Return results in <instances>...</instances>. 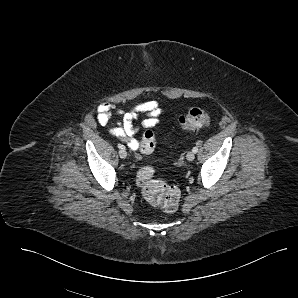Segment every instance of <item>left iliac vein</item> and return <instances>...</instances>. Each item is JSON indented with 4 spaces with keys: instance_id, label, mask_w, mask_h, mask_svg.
Returning a JSON list of instances; mask_svg holds the SVG:
<instances>
[{
    "instance_id": "1",
    "label": "left iliac vein",
    "mask_w": 298,
    "mask_h": 298,
    "mask_svg": "<svg viewBox=\"0 0 298 298\" xmlns=\"http://www.w3.org/2000/svg\"><path fill=\"white\" fill-rule=\"evenodd\" d=\"M194 158H195V153H194L193 151H190V152L187 153V155H186V159H187L188 161H193Z\"/></svg>"
}]
</instances>
